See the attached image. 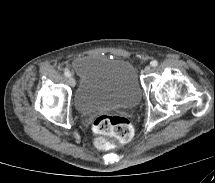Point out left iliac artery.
Segmentation results:
<instances>
[{
    "label": "left iliac artery",
    "mask_w": 215,
    "mask_h": 183,
    "mask_svg": "<svg viewBox=\"0 0 215 183\" xmlns=\"http://www.w3.org/2000/svg\"><path fill=\"white\" fill-rule=\"evenodd\" d=\"M150 65H151L152 67H156V66L158 65V61L153 60V61H151Z\"/></svg>",
    "instance_id": "left-iliac-artery-1"
}]
</instances>
